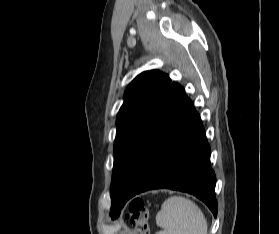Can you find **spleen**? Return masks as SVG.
Segmentation results:
<instances>
[{
  "label": "spleen",
  "instance_id": "spleen-1",
  "mask_svg": "<svg viewBox=\"0 0 279 234\" xmlns=\"http://www.w3.org/2000/svg\"><path fill=\"white\" fill-rule=\"evenodd\" d=\"M156 223L162 228L156 234H208V225L201 209L185 197L166 199L156 215Z\"/></svg>",
  "mask_w": 279,
  "mask_h": 234
}]
</instances>
